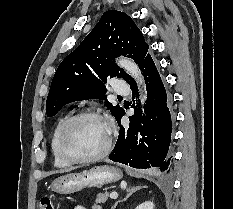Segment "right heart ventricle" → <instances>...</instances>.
<instances>
[{
  "label": "right heart ventricle",
  "instance_id": "1",
  "mask_svg": "<svg viewBox=\"0 0 233 209\" xmlns=\"http://www.w3.org/2000/svg\"><path fill=\"white\" fill-rule=\"evenodd\" d=\"M69 118L68 115H63L61 118H59L52 136H51V141H50V148H51V153H52V157H53V162L54 165L56 167L59 168H64L70 165V163H68L67 161H65L59 153V149H58V142H59V137H60V133L61 130L65 124V122L67 121V119Z\"/></svg>",
  "mask_w": 233,
  "mask_h": 209
}]
</instances>
